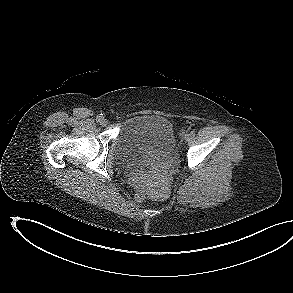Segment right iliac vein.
I'll return each mask as SVG.
<instances>
[{
    "label": "right iliac vein",
    "mask_w": 293,
    "mask_h": 293,
    "mask_svg": "<svg viewBox=\"0 0 293 293\" xmlns=\"http://www.w3.org/2000/svg\"><path fill=\"white\" fill-rule=\"evenodd\" d=\"M100 124H101L102 126H106V125L108 124V121H107L106 119L103 118V119L101 120Z\"/></svg>",
    "instance_id": "63e3f726"
}]
</instances>
